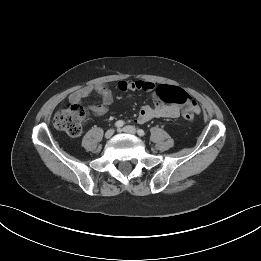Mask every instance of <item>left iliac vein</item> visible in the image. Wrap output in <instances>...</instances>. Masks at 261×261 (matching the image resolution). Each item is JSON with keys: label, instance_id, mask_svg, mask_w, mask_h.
<instances>
[{"label": "left iliac vein", "instance_id": "4c4485c4", "mask_svg": "<svg viewBox=\"0 0 261 261\" xmlns=\"http://www.w3.org/2000/svg\"><path fill=\"white\" fill-rule=\"evenodd\" d=\"M123 132L125 133H128V134H136V128L134 126H125L123 129H122Z\"/></svg>", "mask_w": 261, "mask_h": 261}]
</instances>
